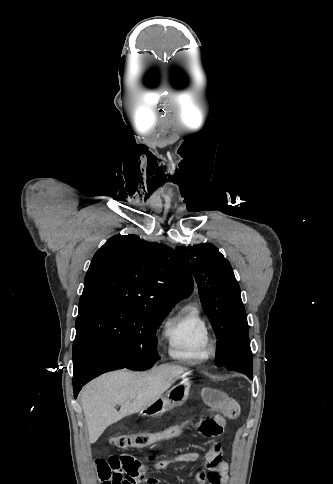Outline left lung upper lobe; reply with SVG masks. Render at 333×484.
<instances>
[{
  "mask_svg": "<svg viewBox=\"0 0 333 484\" xmlns=\"http://www.w3.org/2000/svg\"><path fill=\"white\" fill-rule=\"evenodd\" d=\"M191 269L199 289L202 307L217 338L216 365L247 375L240 363H230V352L249 331L240 287L227 259L210 243L176 247Z\"/></svg>",
  "mask_w": 333,
  "mask_h": 484,
  "instance_id": "5c2ea615",
  "label": "left lung upper lobe"
}]
</instances>
